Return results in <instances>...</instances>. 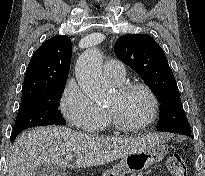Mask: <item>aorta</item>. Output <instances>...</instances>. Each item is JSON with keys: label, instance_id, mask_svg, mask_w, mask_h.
<instances>
[{"label": "aorta", "instance_id": "aorta-1", "mask_svg": "<svg viewBox=\"0 0 205 176\" xmlns=\"http://www.w3.org/2000/svg\"><path fill=\"white\" fill-rule=\"evenodd\" d=\"M102 55L96 47L87 49L77 60L75 75L80 88L95 102L104 101L109 87L102 76Z\"/></svg>", "mask_w": 205, "mask_h": 176}]
</instances>
